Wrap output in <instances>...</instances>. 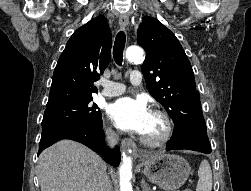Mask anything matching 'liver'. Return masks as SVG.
<instances>
[{
    "instance_id": "obj_1",
    "label": "liver",
    "mask_w": 251,
    "mask_h": 191,
    "mask_svg": "<svg viewBox=\"0 0 251 191\" xmlns=\"http://www.w3.org/2000/svg\"><path fill=\"white\" fill-rule=\"evenodd\" d=\"M107 163L92 149L61 139L38 159L41 191H100Z\"/></svg>"
}]
</instances>
